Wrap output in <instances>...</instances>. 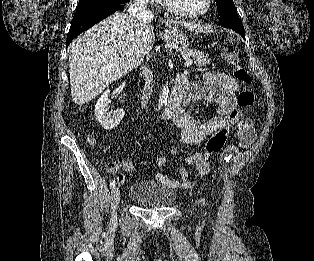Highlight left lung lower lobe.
I'll use <instances>...</instances> for the list:
<instances>
[{
	"instance_id": "left-lung-lower-lobe-1",
	"label": "left lung lower lobe",
	"mask_w": 314,
	"mask_h": 261,
	"mask_svg": "<svg viewBox=\"0 0 314 261\" xmlns=\"http://www.w3.org/2000/svg\"><path fill=\"white\" fill-rule=\"evenodd\" d=\"M236 32H238L245 39V32L244 31H236Z\"/></svg>"
}]
</instances>
